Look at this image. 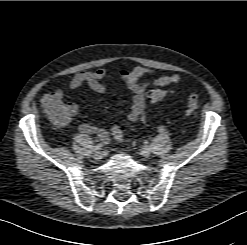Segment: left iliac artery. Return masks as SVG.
I'll use <instances>...</instances> for the list:
<instances>
[{
  "mask_svg": "<svg viewBox=\"0 0 247 245\" xmlns=\"http://www.w3.org/2000/svg\"><path fill=\"white\" fill-rule=\"evenodd\" d=\"M165 130H166V129H165L164 126L158 127V132H159V133H163Z\"/></svg>",
  "mask_w": 247,
  "mask_h": 245,
  "instance_id": "left-iliac-artery-1",
  "label": "left iliac artery"
}]
</instances>
